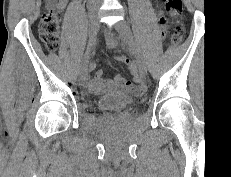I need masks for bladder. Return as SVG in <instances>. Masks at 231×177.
Returning a JSON list of instances; mask_svg holds the SVG:
<instances>
[{"mask_svg": "<svg viewBox=\"0 0 231 177\" xmlns=\"http://www.w3.org/2000/svg\"><path fill=\"white\" fill-rule=\"evenodd\" d=\"M134 104V99L128 94L115 91L101 96L98 100V108L101 111H110Z\"/></svg>", "mask_w": 231, "mask_h": 177, "instance_id": "obj_1", "label": "bladder"}]
</instances>
